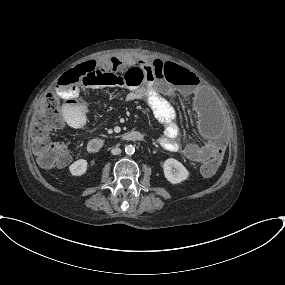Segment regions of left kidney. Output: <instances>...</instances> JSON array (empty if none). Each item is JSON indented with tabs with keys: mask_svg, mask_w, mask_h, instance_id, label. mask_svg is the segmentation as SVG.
<instances>
[{
	"mask_svg": "<svg viewBox=\"0 0 285 285\" xmlns=\"http://www.w3.org/2000/svg\"><path fill=\"white\" fill-rule=\"evenodd\" d=\"M163 171L165 178L172 184H180L189 176V172L184 165L173 158H169L164 162Z\"/></svg>",
	"mask_w": 285,
	"mask_h": 285,
	"instance_id": "5707ae66",
	"label": "left kidney"
}]
</instances>
